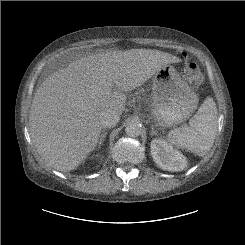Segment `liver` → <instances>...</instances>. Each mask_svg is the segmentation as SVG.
<instances>
[{
	"mask_svg": "<svg viewBox=\"0 0 245 245\" xmlns=\"http://www.w3.org/2000/svg\"><path fill=\"white\" fill-rule=\"evenodd\" d=\"M181 59L152 49L109 51L82 57L38 87L29 114L32 142L45 163L71 171L96 147L101 111L121 114L125 93Z\"/></svg>",
	"mask_w": 245,
	"mask_h": 245,
	"instance_id": "liver-1",
	"label": "liver"
}]
</instances>
